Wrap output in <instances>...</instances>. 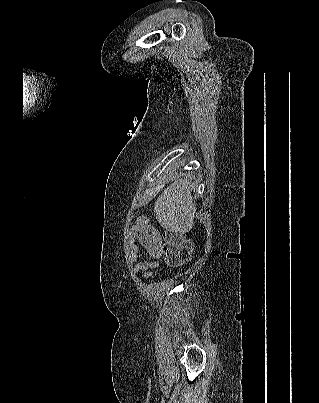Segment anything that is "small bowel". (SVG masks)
Instances as JSON below:
<instances>
[{
    "instance_id": "1",
    "label": "small bowel",
    "mask_w": 319,
    "mask_h": 403,
    "mask_svg": "<svg viewBox=\"0 0 319 403\" xmlns=\"http://www.w3.org/2000/svg\"><path fill=\"white\" fill-rule=\"evenodd\" d=\"M138 238L140 239L139 236H138ZM139 249H140V248L137 247V244H133V245H132V247H131V252H130V259H131V260H134V259H136L137 257H140V256H141V254H138ZM142 249L145 251V253H146L147 255H149L147 248H142ZM157 266H158V263L155 262V261H146V260H142V261H139V262L133 267V270H132V271H133V273H137V272H139V271H145V270H147V269H149V268H155V267H157Z\"/></svg>"
}]
</instances>
